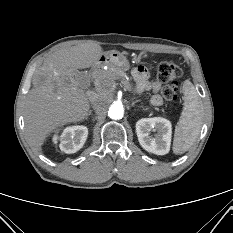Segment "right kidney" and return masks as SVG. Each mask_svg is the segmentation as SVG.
Wrapping results in <instances>:
<instances>
[{"label":"right kidney","mask_w":233,"mask_h":233,"mask_svg":"<svg viewBox=\"0 0 233 233\" xmlns=\"http://www.w3.org/2000/svg\"><path fill=\"white\" fill-rule=\"evenodd\" d=\"M88 136V129L86 126H72L64 129L62 134L53 137V142L57 143L59 139L60 150L64 153L71 154L80 150Z\"/></svg>","instance_id":"obj_1"}]
</instances>
